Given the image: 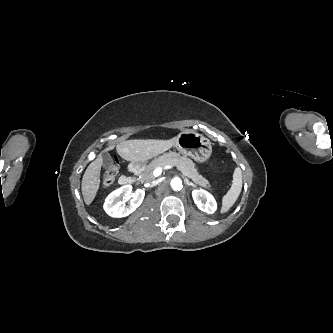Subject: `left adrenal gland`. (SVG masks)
<instances>
[{
  "label": "left adrenal gland",
  "mask_w": 333,
  "mask_h": 333,
  "mask_svg": "<svg viewBox=\"0 0 333 333\" xmlns=\"http://www.w3.org/2000/svg\"><path fill=\"white\" fill-rule=\"evenodd\" d=\"M185 182H186V184H187L188 186L197 187V185H196V184H194V183L190 182V181H189L187 178H185Z\"/></svg>",
  "instance_id": "obj_1"
}]
</instances>
